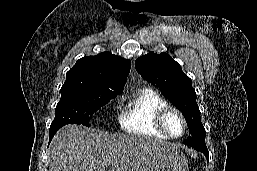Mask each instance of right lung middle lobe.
Masks as SVG:
<instances>
[{
    "mask_svg": "<svg viewBox=\"0 0 257 171\" xmlns=\"http://www.w3.org/2000/svg\"><path fill=\"white\" fill-rule=\"evenodd\" d=\"M118 94L120 93L101 88H61V99L56 106L51 127L66 124L89 126L91 115Z\"/></svg>",
    "mask_w": 257,
    "mask_h": 171,
    "instance_id": "1",
    "label": "right lung middle lobe"
}]
</instances>
